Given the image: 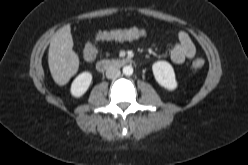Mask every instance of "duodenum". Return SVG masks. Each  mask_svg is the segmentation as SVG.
I'll return each instance as SVG.
<instances>
[{"label": "duodenum", "mask_w": 248, "mask_h": 165, "mask_svg": "<svg viewBox=\"0 0 248 165\" xmlns=\"http://www.w3.org/2000/svg\"><path fill=\"white\" fill-rule=\"evenodd\" d=\"M133 63V59L128 57L118 59H103L97 62L96 68L99 72H104L111 67L129 66Z\"/></svg>", "instance_id": "obj_1"}]
</instances>
